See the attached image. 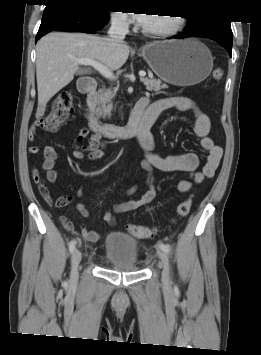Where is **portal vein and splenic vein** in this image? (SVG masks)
Segmentation results:
<instances>
[{
    "label": "portal vein and splenic vein",
    "mask_w": 261,
    "mask_h": 355,
    "mask_svg": "<svg viewBox=\"0 0 261 355\" xmlns=\"http://www.w3.org/2000/svg\"><path fill=\"white\" fill-rule=\"evenodd\" d=\"M75 63L80 64V65H88L96 69L101 75H103L107 79H114V74L111 70H109L107 67H105L102 63L92 60V59H84V58H76L74 59ZM140 78L143 80L144 77L146 76V73L144 71L139 72Z\"/></svg>",
    "instance_id": "portal-vein-and-splenic-vein-1"
}]
</instances>
